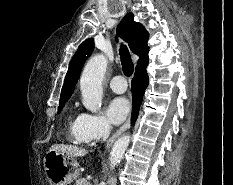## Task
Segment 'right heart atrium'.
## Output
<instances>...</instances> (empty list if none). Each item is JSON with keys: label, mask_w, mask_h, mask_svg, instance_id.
Returning a JSON list of instances; mask_svg holds the SVG:
<instances>
[{"label": "right heart atrium", "mask_w": 233, "mask_h": 185, "mask_svg": "<svg viewBox=\"0 0 233 185\" xmlns=\"http://www.w3.org/2000/svg\"><path fill=\"white\" fill-rule=\"evenodd\" d=\"M110 126L107 120L97 114L82 113L79 121L80 138L85 143H92L108 135Z\"/></svg>", "instance_id": "d8ad5b80"}]
</instances>
